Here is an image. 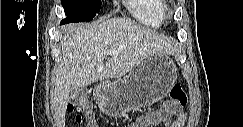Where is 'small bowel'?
<instances>
[{"instance_id":"obj_1","label":"small bowel","mask_w":243,"mask_h":127,"mask_svg":"<svg viewBox=\"0 0 243 127\" xmlns=\"http://www.w3.org/2000/svg\"><path fill=\"white\" fill-rule=\"evenodd\" d=\"M151 117L147 116L144 118L139 119L136 123L132 124L131 127H144V126H150L152 124ZM187 119V115L185 112L181 113L180 116L177 118V120L171 124L172 127H183L185 125ZM89 127H97L96 123L94 121H90Z\"/></svg>"}]
</instances>
